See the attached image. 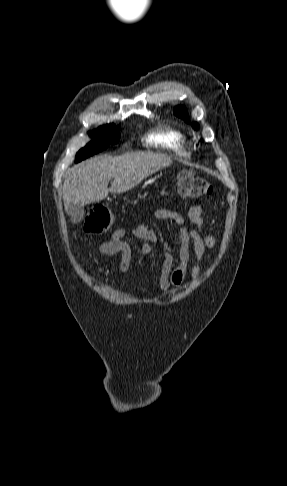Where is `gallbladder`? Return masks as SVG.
<instances>
[{"instance_id":"bac80fb5","label":"gallbladder","mask_w":287,"mask_h":486,"mask_svg":"<svg viewBox=\"0 0 287 486\" xmlns=\"http://www.w3.org/2000/svg\"><path fill=\"white\" fill-rule=\"evenodd\" d=\"M69 213L71 215V222L74 224H78L84 218V206L72 203L69 208Z\"/></svg>"}]
</instances>
